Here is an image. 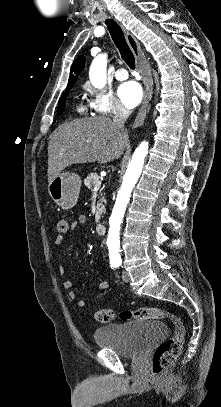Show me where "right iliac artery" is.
<instances>
[{
    "label": "right iliac artery",
    "mask_w": 221,
    "mask_h": 407,
    "mask_svg": "<svg viewBox=\"0 0 221 407\" xmlns=\"http://www.w3.org/2000/svg\"><path fill=\"white\" fill-rule=\"evenodd\" d=\"M111 266H112L113 268L117 267V265H115V264H112Z\"/></svg>",
    "instance_id": "right-iliac-artery-1"
}]
</instances>
